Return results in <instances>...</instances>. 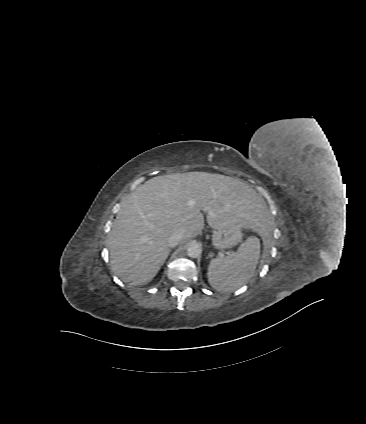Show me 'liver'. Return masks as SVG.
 <instances>
[{
  "instance_id": "1",
  "label": "liver",
  "mask_w": 366,
  "mask_h": 424,
  "mask_svg": "<svg viewBox=\"0 0 366 424\" xmlns=\"http://www.w3.org/2000/svg\"><path fill=\"white\" fill-rule=\"evenodd\" d=\"M264 201L246 182L221 174L187 172L157 176L139 186L122 205L108 235L112 269L124 282L149 283L170 250L168 238L182 232L181 243L204 228L240 227L263 235Z\"/></svg>"
}]
</instances>
